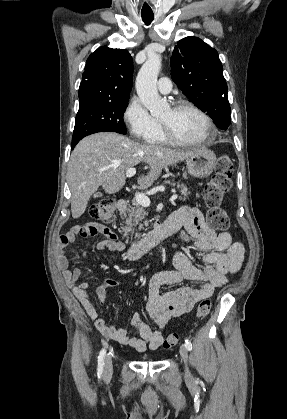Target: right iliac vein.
Returning <instances> with one entry per match:
<instances>
[{"label":"right iliac vein","instance_id":"right-iliac-vein-1","mask_svg":"<svg viewBox=\"0 0 287 419\" xmlns=\"http://www.w3.org/2000/svg\"><path fill=\"white\" fill-rule=\"evenodd\" d=\"M113 372V364L111 356H108L105 360V368H104V377L108 378L112 375Z\"/></svg>","mask_w":287,"mask_h":419}]
</instances>
